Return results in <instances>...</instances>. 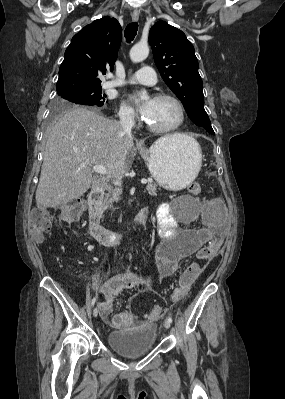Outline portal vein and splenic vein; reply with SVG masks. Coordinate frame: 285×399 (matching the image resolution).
<instances>
[{
    "mask_svg": "<svg viewBox=\"0 0 285 399\" xmlns=\"http://www.w3.org/2000/svg\"><path fill=\"white\" fill-rule=\"evenodd\" d=\"M92 169H93V171H95V172H97L99 174H102V175H105L107 173V169L104 166H102V165H94L92 167ZM113 183H114V185L119 186V187L122 185L121 181H119V180H116ZM141 183L142 184H146L147 180L146 179H142Z\"/></svg>",
    "mask_w": 285,
    "mask_h": 399,
    "instance_id": "obj_1",
    "label": "portal vein and splenic vein"
}]
</instances>
